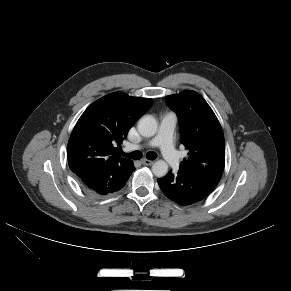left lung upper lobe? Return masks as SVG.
<instances>
[{"label": "left lung upper lobe", "mask_w": 291, "mask_h": 291, "mask_svg": "<svg viewBox=\"0 0 291 291\" xmlns=\"http://www.w3.org/2000/svg\"><path fill=\"white\" fill-rule=\"evenodd\" d=\"M177 113L181 143L189 150L180 170L218 184L225 165V143L221 125L204 98L184 91L165 98Z\"/></svg>", "instance_id": "obj_1"}]
</instances>
